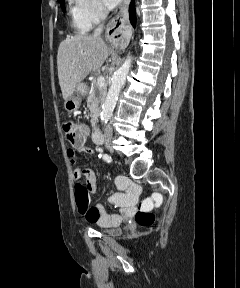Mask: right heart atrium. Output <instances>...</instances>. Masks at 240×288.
Masks as SVG:
<instances>
[{"instance_id":"right-heart-atrium-1","label":"right heart atrium","mask_w":240,"mask_h":288,"mask_svg":"<svg viewBox=\"0 0 240 288\" xmlns=\"http://www.w3.org/2000/svg\"><path fill=\"white\" fill-rule=\"evenodd\" d=\"M79 19L88 27L101 22L107 10L101 0H74Z\"/></svg>"}]
</instances>
